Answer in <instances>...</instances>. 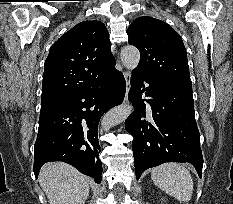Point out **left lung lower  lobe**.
Returning <instances> with one entry per match:
<instances>
[{
  "mask_svg": "<svg viewBox=\"0 0 233 204\" xmlns=\"http://www.w3.org/2000/svg\"><path fill=\"white\" fill-rule=\"evenodd\" d=\"M131 86L128 99L134 112L126 119L125 128L134 138L137 180L146 169L165 162H190L201 177L203 157L192 89L159 83L138 72L132 73ZM144 95L150 99H142ZM145 101L151 106L150 115Z\"/></svg>",
  "mask_w": 233,
  "mask_h": 204,
  "instance_id": "left-lung-lower-lobe-1",
  "label": "left lung lower lobe"
}]
</instances>
